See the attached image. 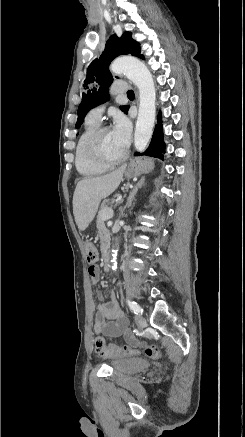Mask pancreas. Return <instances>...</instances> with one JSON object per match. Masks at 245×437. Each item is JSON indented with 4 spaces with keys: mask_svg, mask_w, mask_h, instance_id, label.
Masks as SVG:
<instances>
[{
    "mask_svg": "<svg viewBox=\"0 0 245 437\" xmlns=\"http://www.w3.org/2000/svg\"><path fill=\"white\" fill-rule=\"evenodd\" d=\"M111 213H113L112 208L105 205L100 209L97 216V229L102 247H104L110 241V232L105 227L104 222L107 220L106 216L110 215Z\"/></svg>",
    "mask_w": 245,
    "mask_h": 437,
    "instance_id": "cf45deb5",
    "label": "pancreas"
}]
</instances>
